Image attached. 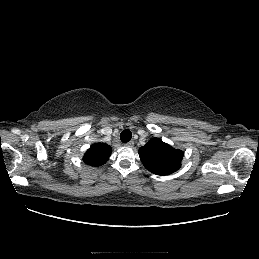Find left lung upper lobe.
Instances as JSON below:
<instances>
[{"label": "left lung upper lobe", "mask_w": 259, "mask_h": 259, "mask_svg": "<svg viewBox=\"0 0 259 259\" xmlns=\"http://www.w3.org/2000/svg\"><path fill=\"white\" fill-rule=\"evenodd\" d=\"M139 156L150 172L157 175H169L180 168L183 152L174 149L159 138H153L139 149Z\"/></svg>", "instance_id": "1"}]
</instances>
